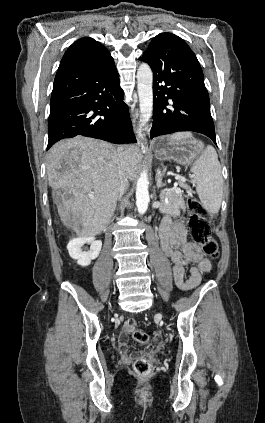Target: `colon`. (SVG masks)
I'll list each match as a JSON object with an SVG mask.
<instances>
[{"label": "colon", "mask_w": 265, "mask_h": 423, "mask_svg": "<svg viewBox=\"0 0 265 423\" xmlns=\"http://www.w3.org/2000/svg\"><path fill=\"white\" fill-rule=\"evenodd\" d=\"M189 209L188 228L194 242L201 246L204 254L216 259L219 257V247L216 240L212 237L211 216L202 207L199 201L190 198L187 201ZM124 329L132 334L133 338L144 345H150L151 338L148 333L137 329V322L134 319H128L125 322ZM158 339V335L155 336ZM134 372L139 376H148L152 372L151 364L144 358H139L134 362Z\"/></svg>", "instance_id": "colon-1"}]
</instances>
